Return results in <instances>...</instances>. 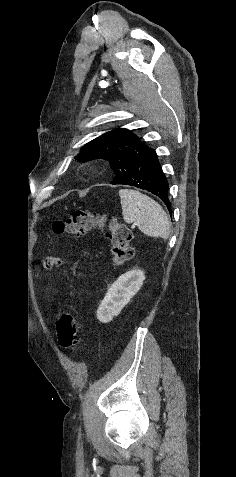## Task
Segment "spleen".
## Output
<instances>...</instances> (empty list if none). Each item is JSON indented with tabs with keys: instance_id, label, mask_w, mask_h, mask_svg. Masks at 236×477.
<instances>
[{
	"instance_id": "3e777b00",
	"label": "spleen",
	"mask_w": 236,
	"mask_h": 477,
	"mask_svg": "<svg viewBox=\"0 0 236 477\" xmlns=\"http://www.w3.org/2000/svg\"><path fill=\"white\" fill-rule=\"evenodd\" d=\"M119 196L125 222H135L148 236L168 239L170 222L166 212L155 200L131 189H121Z\"/></svg>"
}]
</instances>
